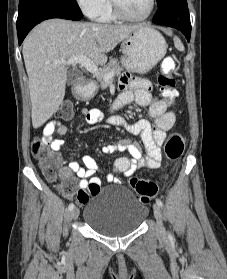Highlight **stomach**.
<instances>
[{
  "label": "stomach",
  "instance_id": "obj_1",
  "mask_svg": "<svg viewBox=\"0 0 227 279\" xmlns=\"http://www.w3.org/2000/svg\"><path fill=\"white\" fill-rule=\"evenodd\" d=\"M124 67L132 72L146 73L150 71L165 56L167 44L164 37L155 29L140 27L123 40ZM97 87L89 84L83 89L82 96L91 98L96 93Z\"/></svg>",
  "mask_w": 227,
  "mask_h": 279
}]
</instances>
